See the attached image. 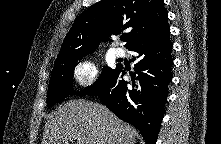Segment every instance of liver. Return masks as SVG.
Returning <instances> with one entry per match:
<instances>
[{
    "label": "liver",
    "instance_id": "6515ba94",
    "mask_svg": "<svg viewBox=\"0 0 221 144\" xmlns=\"http://www.w3.org/2000/svg\"><path fill=\"white\" fill-rule=\"evenodd\" d=\"M136 130L105 106L74 99L59 106L44 128L43 144H135Z\"/></svg>",
    "mask_w": 221,
    "mask_h": 144
}]
</instances>
